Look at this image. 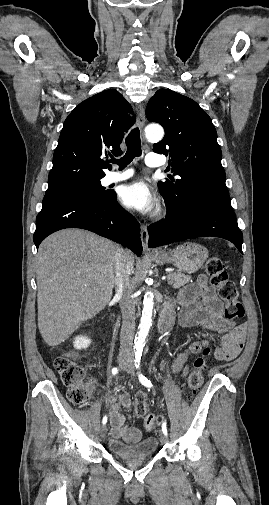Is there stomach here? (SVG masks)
Listing matches in <instances>:
<instances>
[{
  "mask_svg": "<svg viewBox=\"0 0 269 505\" xmlns=\"http://www.w3.org/2000/svg\"><path fill=\"white\" fill-rule=\"evenodd\" d=\"M208 250L197 243L186 242L171 251L158 250L152 255V260L157 264L172 263L181 272L195 273L208 258Z\"/></svg>",
  "mask_w": 269,
  "mask_h": 505,
  "instance_id": "stomach-1",
  "label": "stomach"
}]
</instances>
